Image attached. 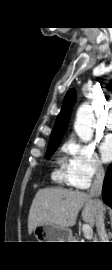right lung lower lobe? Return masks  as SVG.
<instances>
[{"instance_id":"1","label":"right lung lower lobe","mask_w":112,"mask_h":270,"mask_svg":"<svg viewBox=\"0 0 112 270\" xmlns=\"http://www.w3.org/2000/svg\"><path fill=\"white\" fill-rule=\"evenodd\" d=\"M102 198L104 203L112 208V164L108 167L104 179Z\"/></svg>"}]
</instances>
